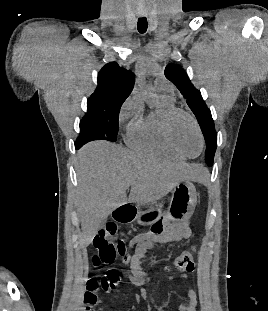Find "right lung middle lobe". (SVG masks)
<instances>
[{"instance_id": "1", "label": "right lung middle lobe", "mask_w": 268, "mask_h": 311, "mask_svg": "<svg viewBox=\"0 0 268 311\" xmlns=\"http://www.w3.org/2000/svg\"><path fill=\"white\" fill-rule=\"evenodd\" d=\"M121 106L99 101H87V113L80 121V134L75 144L83 146L94 140L115 142Z\"/></svg>"}]
</instances>
